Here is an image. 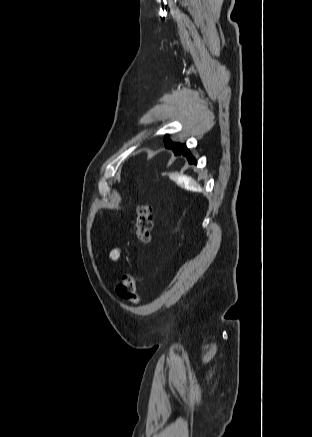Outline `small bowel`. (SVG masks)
<instances>
[{
    "mask_svg": "<svg viewBox=\"0 0 312 437\" xmlns=\"http://www.w3.org/2000/svg\"><path fill=\"white\" fill-rule=\"evenodd\" d=\"M121 250L119 248H114L110 253V258L112 261H117L121 257Z\"/></svg>",
    "mask_w": 312,
    "mask_h": 437,
    "instance_id": "small-bowel-1",
    "label": "small bowel"
}]
</instances>
